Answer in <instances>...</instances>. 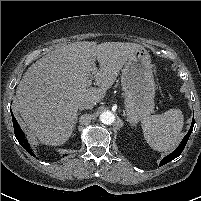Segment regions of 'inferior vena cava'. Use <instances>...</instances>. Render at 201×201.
Masks as SVG:
<instances>
[{"label": "inferior vena cava", "mask_w": 201, "mask_h": 201, "mask_svg": "<svg viewBox=\"0 0 201 201\" xmlns=\"http://www.w3.org/2000/svg\"><path fill=\"white\" fill-rule=\"evenodd\" d=\"M95 105V102L90 99H83L78 103L79 109H92Z\"/></svg>", "instance_id": "obj_1"}]
</instances>
